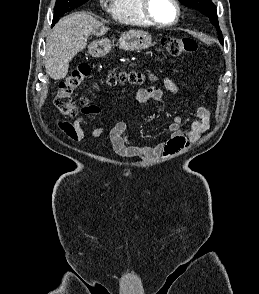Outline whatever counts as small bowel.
Masks as SVG:
<instances>
[{
	"instance_id": "c3829d8e",
	"label": "small bowel",
	"mask_w": 259,
	"mask_h": 294,
	"mask_svg": "<svg viewBox=\"0 0 259 294\" xmlns=\"http://www.w3.org/2000/svg\"><path fill=\"white\" fill-rule=\"evenodd\" d=\"M165 88L176 94L179 92L178 86L168 78L163 79ZM135 102L139 105H144L149 102L162 104L164 102L163 92L159 87L152 86L142 88L135 93ZM82 113L88 116H97L100 114V109L96 105H90L82 110ZM198 120L192 121L184 129L180 117H174L169 131L171 137L162 143L155 146L134 145L127 143L125 135L127 133V124L124 121L116 122L109 132V142L113 152L123 158H154L156 156H171L183 148L189 142H194L200 139L210 127V111L203 106H199L196 110ZM87 122L86 117L77 118L73 123L59 121L58 127L72 140L80 141L84 137L82 125ZM105 130V127L96 128L92 137L98 138Z\"/></svg>"
}]
</instances>
